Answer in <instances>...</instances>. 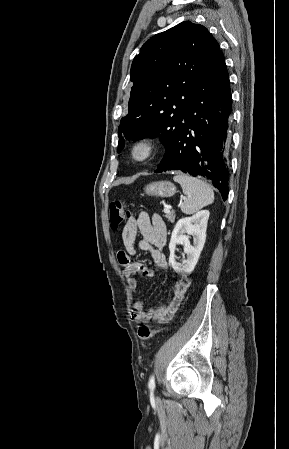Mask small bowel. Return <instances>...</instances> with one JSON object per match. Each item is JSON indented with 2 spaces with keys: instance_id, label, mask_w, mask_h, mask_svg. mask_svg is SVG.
<instances>
[{
  "instance_id": "c3829d8e",
  "label": "small bowel",
  "mask_w": 289,
  "mask_h": 449,
  "mask_svg": "<svg viewBox=\"0 0 289 449\" xmlns=\"http://www.w3.org/2000/svg\"><path fill=\"white\" fill-rule=\"evenodd\" d=\"M140 240H136L137 234ZM167 240V230L164 222L158 215L150 216L147 212H141L137 218H132L126 224L122 232L123 250L117 253V259L123 267V273L128 284L137 288L135 276L142 275L153 277L151 268L140 261L132 259L137 249L148 252L154 265L160 269L168 268V261L163 251ZM137 246V247H136ZM190 286V280L182 276L175 281L174 292L167 305L145 310L143 303L137 301L133 306L132 318L138 323L156 321L160 324L169 321L176 313L181 302L185 298Z\"/></svg>"
}]
</instances>
